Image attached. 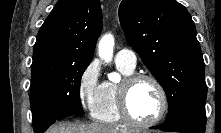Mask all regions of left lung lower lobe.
<instances>
[{
	"label": "left lung lower lobe",
	"instance_id": "1",
	"mask_svg": "<svg viewBox=\"0 0 221 133\" xmlns=\"http://www.w3.org/2000/svg\"><path fill=\"white\" fill-rule=\"evenodd\" d=\"M205 126V101H197L187 105L163 124L152 128H159L167 132L205 133Z\"/></svg>",
	"mask_w": 221,
	"mask_h": 133
}]
</instances>
